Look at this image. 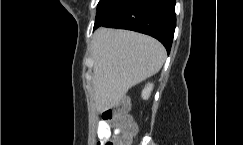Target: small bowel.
Instances as JSON below:
<instances>
[{
  "mask_svg": "<svg viewBox=\"0 0 243 145\" xmlns=\"http://www.w3.org/2000/svg\"><path fill=\"white\" fill-rule=\"evenodd\" d=\"M113 133L118 134L119 131L117 129L112 130L108 122L100 121L97 129V136H98L97 145H101L100 144L101 141L106 138H110Z\"/></svg>",
  "mask_w": 243,
  "mask_h": 145,
  "instance_id": "small-bowel-1",
  "label": "small bowel"
}]
</instances>
